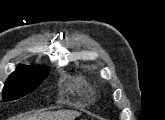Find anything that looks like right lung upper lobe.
Returning <instances> with one entry per match:
<instances>
[{
	"label": "right lung upper lobe",
	"mask_w": 165,
	"mask_h": 120,
	"mask_svg": "<svg viewBox=\"0 0 165 120\" xmlns=\"http://www.w3.org/2000/svg\"><path fill=\"white\" fill-rule=\"evenodd\" d=\"M20 66H25V65H18L17 67H20ZM40 68H46V66H38Z\"/></svg>",
	"instance_id": "cb5924a9"
}]
</instances>
